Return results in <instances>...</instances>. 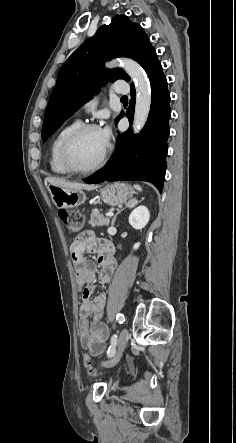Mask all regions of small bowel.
Segmentation results:
<instances>
[{
	"label": "small bowel",
	"mask_w": 236,
	"mask_h": 443,
	"mask_svg": "<svg viewBox=\"0 0 236 443\" xmlns=\"http://www.w3.org/2000/svg\"><path fill=\"white\" fill-rule=\"evenodd\" d=\"M72 258L76 265V283L82 292L79 305L78 333L80 344L93 355H100L108 338V328L103 322L106 295L96 294L94 284L97 277L99 284L111 282L116 268L113 248L107 241L98 239L92 232H84L74 239L71 244ZM82 253L75 257V251ZM96 251L100 270L96 273L95 265L84 257V253ZM91 318V320H89Z\"/></svg>",
	"instance_id": "c3829d8e"
}]
</instances>
